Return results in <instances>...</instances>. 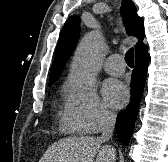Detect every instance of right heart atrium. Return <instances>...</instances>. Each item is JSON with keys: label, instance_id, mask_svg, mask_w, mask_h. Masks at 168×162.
Segmentation results:
<instances>
[{"label": "right heart atrium", "instance_id": "1", "mask_svg": "<svg viewBox=\"0 0 168 162\" xmlns=\"http://www.w3.org/2000/svg\"><path fill=\"white\" fill-rule=\"evenodd\" d=\"M64 119L68 126L79 132L97 133L112 123L114 114L94 87H81L70 82Z\"/></svg>", "mask_w": 168, "mask_h": 162}]
</instances>
